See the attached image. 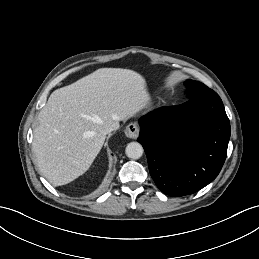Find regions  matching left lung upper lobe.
<instances>
[{"instance_id":"5c2ea615","label":"left lung upper lobe","mask_w":259,"mask_h":259,"mask_svg":"<svg viewBox=\"0 0 259 259\" xmlns=\"http://www.w3.org/2000/svg\"><path fill=\"white\" fill-rule=\"evenodd\" d=\"M184 84L187 87L188 95L191 97H196L200 95H209L214 92L206 85L198 81L187 80Z\"/></svg>"}]
</instances>
